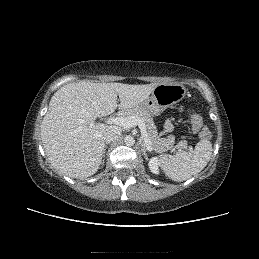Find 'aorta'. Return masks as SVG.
<instances>
[{"instance_id": "1", "label": "aorta", "mask_w": 259, "mask_h": 259, "mask_svg": "<svg viewBox=\"0 0 259 259\" xmlns=\"http://www.w3.org/2000/svg\"><path fill=\"white\" fill-rule=\"evenodd\" d=\"M124 142L127 146H133L135 144V139L132 136H126Z\"/></svg>"}]
</instances>
